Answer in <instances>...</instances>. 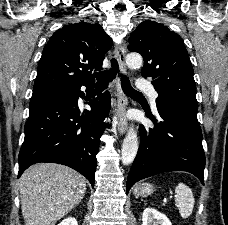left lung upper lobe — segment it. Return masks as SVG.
Instances as JSON below:
<instances>
[{
    "instance_id": "5c2ea615",
    "label": "left lung upper lobe",
    "mask_w": 228,
    "mask_h": 225,
    "mask_svg": "<svg viewBox=\"0 0 228 225\" xmlns=\"http://www.w3.org/2000/svg\"><path fill=\"white\" fill-rule=\"evenodd\" d=\"M128 49L144 59L142 76L152 77L157 101L198 108L193 67L182 38L167 26L145 20L129 38Z\"/></svg>"
}]
</instances>
